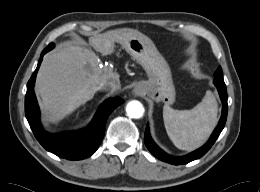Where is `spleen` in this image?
I'll return each instance as SVG.
<instances>
[{
  "label": "spleen",
  "instance_id": "3e777b00",
  "mask_svg": "<svg viewBox=\"0 0 260 192\" xmlns=\"http://www.w3.org/2000/svg\"><path fill=\"white\" fill-rule=\"evenodd\" d=\"M217 111V101L210 91L191 110H175L165 104L163 119L169 138L181 150L200 147L217 124Z\"/></svg>",
  "mask_w": 260,
  "mask_h": 192
}]
</instances>
